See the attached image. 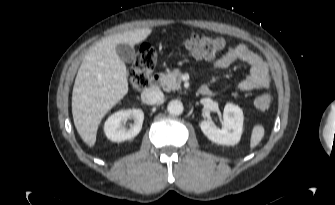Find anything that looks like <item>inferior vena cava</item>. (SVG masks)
Returning a JSON list of instances; mask_svg holds the SVG:
<instances>
[{
    "mask_svg": "<svg viewBox=\"0 0 335 205\" xmlns=\"http://www.w3.org/2000/svg\"><path fill=\"white\" fill-rule=\"evenodd\" d=\"M141 97L147 104H157L163 100L164 94L157 87H149L142 92Z\"/></svg>",
    "mask_w": 335,
    "mask_h": 205,
    "instance_id": "obj_1",
    "label": "inferior vena cava"
}]
</instances>
